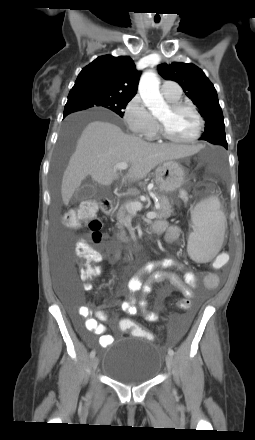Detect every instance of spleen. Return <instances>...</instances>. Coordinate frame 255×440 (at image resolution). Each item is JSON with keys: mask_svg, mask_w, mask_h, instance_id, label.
Returning <instances> with one entry per match:
<instances>
[{"mask_svg": "<svg viewBox=\"0 0 255 440\" xmlns=\"http://www.w3.org/2000/svg\"><path fill=\"white\" fill-rule=\"evenodd\" d=\"M191 219L193 232L188 238V254L196 262H208L218 253L224 239L225 216L219 200L210 197L198 203Z\"/></svg>", "mask_w": 255, "mask_h": 440, "instance_id": "obj_1", "label": "spleen"}]
</instances>
